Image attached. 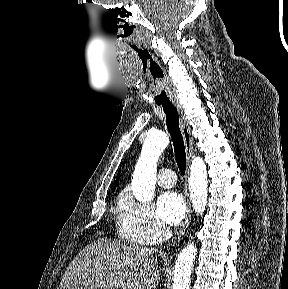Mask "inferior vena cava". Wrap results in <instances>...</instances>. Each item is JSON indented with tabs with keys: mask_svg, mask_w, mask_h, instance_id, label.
Returning <instances> with one entry per match:
<instances>
[{
	"mask_svg": "<svg viewBox=\"0 0 288 289\" xmlns=\"http://www.w3.org/2000/svg\"><path fill=\"white\" fill-rule=\"evenodd\" d=\"M171 236L172 231L169 228L164 227L161 232V241L163 242L164 240H168Z\"/></svg>",
	"mask_w": 288,
	"mask_h": 289,
	"instance_id": "inferior-vena-cava-1",
	"label": "inferior vena cava"
}]
</instances>
